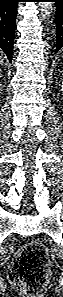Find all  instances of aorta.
<instances>
[{"instance_id": "1", "label": "aorta", "mask_w": 63, "mask_h": 297, "mask_svg": "<svg viewBox=\"0 0 63 297\" xmlns=\"http://www.w3.org/2000/svg\"><path fill=\"white\" fill-rule=\"evenodd\" d=\"M40 13L43 19H48L53 12L54 5L52 2H40Z\"/></svg>"}]
</instances>
